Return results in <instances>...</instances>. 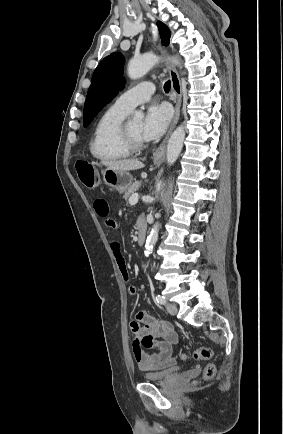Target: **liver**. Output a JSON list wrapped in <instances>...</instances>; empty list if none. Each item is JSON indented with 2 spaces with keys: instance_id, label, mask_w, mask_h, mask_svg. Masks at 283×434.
Wrapping results in <instances>:
<instances>
[{
  "instance_id": "obj_1",
  "label": "liver",
  "mask_w": 283,
  "mask_h": 434,
  "mask_svg": "<svg viewBox=\"0 0 283 434\" xmlns=\"http://www.w3.org/2000/svg\"><path fill=\"white\" fill-rule=\"evenodd\" d=\"M102 164L109 169L118 171H133L144 167V164L137 159L102 161Z\"/></svg>"
}]
</instances>
